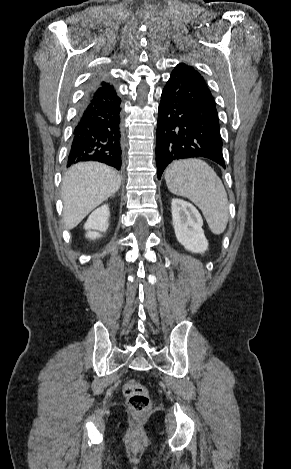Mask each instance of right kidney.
<instances>
[{
  "mask_svg": "<svg viewBox=\"0 0 291 469\" xmlns=\"http://www.w3.org/2000/svg\"><path fill=\"white\" fill-rule=\"evenodd\" d=\"M110 212L108 205H103L102 207L96 209L89 216L87 222L84 225L85 230H87L86 237L92 240L100 238V232H106L108 229Z\"/></svg>",
  "mask_w": 291,
  "mask_h": 469,
  "instance_id": "right-kidney-1",
  "label": "right kidney"
}]
</instances>
